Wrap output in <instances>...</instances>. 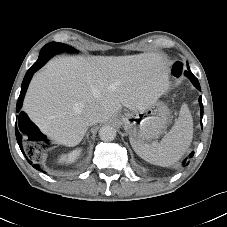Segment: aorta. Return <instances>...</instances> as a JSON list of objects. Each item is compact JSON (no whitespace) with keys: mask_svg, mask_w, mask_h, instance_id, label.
<instances>
[{"mask_svg":"<svg viewBox=\"0 0 227 227\" xmlns=\"http://www.w3.org/2000/svg\"><path fill=\"white\" fill-rule=\"evenodd\" d=\"M99 137L105 142L112 141L116 137V129L109 125L103 126L99 130Z\"/></svg>","mask_w":227,"mask_h":227,"instance_id":"1","label":"aorta"}]
</instances>
